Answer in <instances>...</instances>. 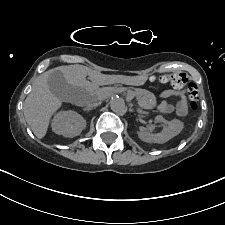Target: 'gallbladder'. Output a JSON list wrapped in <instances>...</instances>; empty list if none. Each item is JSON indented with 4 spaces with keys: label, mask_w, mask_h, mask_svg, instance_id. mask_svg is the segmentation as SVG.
Wrapping results in <instances>:
<instances>
[{
    "label": "gallbladder",
    "mask_w": 225,
    "mask_h": 225,
    "mask_svg": "<svg viewBox=\"0 0 225 225\" xmlns=\"http://www.w3.org/2000/svg\"><path fill=\"white\" fill-rule=\"evenodd\" d=\"M48 86L53 95L64 102L78 101V96L83 92L81 88L69 84L58 70L49 74Z\"/></svg>",
    "instance_id": "obj_1"
}]
</instances>
